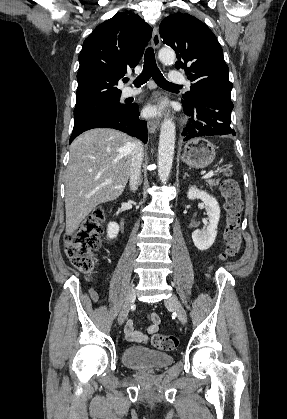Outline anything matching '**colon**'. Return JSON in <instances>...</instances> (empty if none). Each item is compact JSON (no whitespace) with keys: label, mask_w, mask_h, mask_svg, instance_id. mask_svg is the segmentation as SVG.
I'll use <instances>...</instances> for the list:
<instances>
[{"label":"colon","mask_w":287,"mask_h":419,"mask_svg":"<svg viewBox=\"0 0 287 419\" xmlns=\"http://www.w3.org/2000/svg\"><path fill=\"white\" fill-rule=\"evenodd\" d=\"M226 176L220 184V192L224 199L226 210V223L223 233L225 250L223 258L236 257L242 247L241 239V213L243 201L239 184L230 178L231 169H223ZM105 211L101 207L95 208L82 222V224L65 238L64 251L72 265L84 273H91L95 268L94 252L100 246V237L103 232ZM152 345L158 350H173L178 346V338L174 335L154 334Z\"/></svg>","instance_id":"5ec220e1"}]
</instances>
